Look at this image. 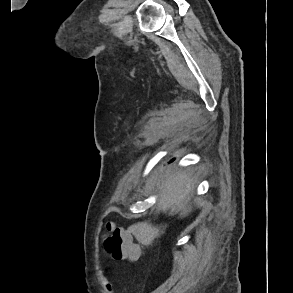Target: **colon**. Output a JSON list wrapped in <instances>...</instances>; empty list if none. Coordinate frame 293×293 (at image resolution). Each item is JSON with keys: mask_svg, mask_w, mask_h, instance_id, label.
I'll list each match as a JSON object with an SVG mask.
<instances>
[{"mask_svg": "<svg viewBox=\"0 0 293 293\" xmlns=\"http://www.w3.org/2000/svg\"><path fill=\"white\" fill-rule=\"evenodd\" d=\"M106 229L108 233L103 244L114 258L137 260L141 256L142 246L134 243L126 230L117 227L114 222H108Z\"/></svg>", "mask_w": 293, "mask_h": 293, "instance_id": "5ec220e1", "label": "colon"}]
</instances>
